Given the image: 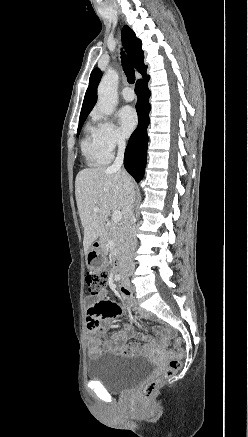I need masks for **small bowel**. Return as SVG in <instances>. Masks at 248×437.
Listing matches in <instances>:
<instances>
[{
    "label": "small bowel",
    "instance_id": "small-bowel-1",
    "mask_svg": "<svg viewBox=\"0 0 248 437\" xmlns=\"http://www.w3.org/2000/svg\"><path fill=\"white\" fill-rule=\"evenodd\" d=\"M121 293L126 305H132L130 293L124 287H121ZM86 307L85 315L87 317V329L90 333L88 354L91 358L98 356L103 349L113 353L120 354H137L152 352L159 348V345L152 340H148L143 334L136 333L135 330L127 324L114 333H106L102 323H108L115 318L121 311L119 305L114 303L113 298H108L106 291L99 294H86L83 300ZM102 334L104 340L98 338ZM161 341H165V335L159 331ZM129 338L146 341L144 345L137 342H128Z\"/></svg>",
    "mask_w": 248,
    "mask_h": 437
}]
</instances>
